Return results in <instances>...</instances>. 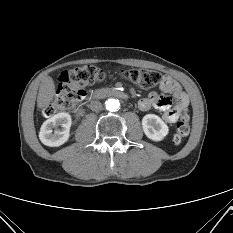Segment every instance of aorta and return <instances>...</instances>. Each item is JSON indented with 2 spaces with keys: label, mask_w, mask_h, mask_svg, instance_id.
<instances>
[{
  "label": "aorta",
  "mask_w": 233,
  "mask_h": 233,
  "mask_svg": "<svg viewBox=\"0 0 233 233\" xmlns=\"http://www.w3.org/2000/svg\"><path fill=\"white\" fill-rule=\"evenodd\" d=\"M120 106L118 99H108L106 101V109L109 111H116Z\"/></svg>",
  "instance_id": "obj_1"
}]
</instances>
